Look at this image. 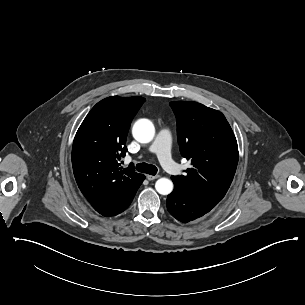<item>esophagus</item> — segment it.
I'll return each instance as SVG.
<instances>
[{
	"label": "esophagus",
	"instance_id": "1",
	"mask_svg": "<svg viewBox=\"0 0 305 305\" xmlns=\"http://www.w3.org/2000/svg\"><path fill=\"white\" fill-rule=\"evenodd\" d=\"M160 177V175H147L146 178L151 181L154 179H158Z\"/></svg>",
	"mask_w": 305,
	"mask_h": 305
}]
</instances>
